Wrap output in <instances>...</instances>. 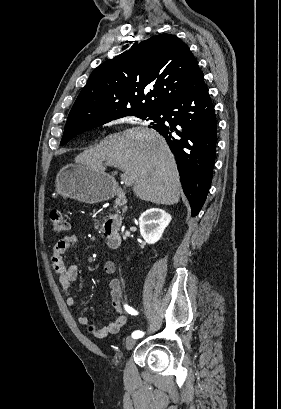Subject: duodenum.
Returning <instances> with one entry per match:
<instances>
[{
  "label": "duodenum",
  "mask_w": 281,
  "mask_h": 409,
  "mask_svg": "<svg viewBox=\"0 0 281 409\" xmlns=\"http://www.w3.org/2000/svg\"><path fill=\"white\" fill-rule=\"evenodd\" d=\"M113 201L114 203H125L127 189L125 186H116L114 189ZM105 237L108 242V246L111 249H119L122 244L121 234L113 227L110 220L106 221L103 225Z\"/></svg>",
  "instance_id": "obj_1"
}]
</instances>
